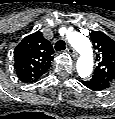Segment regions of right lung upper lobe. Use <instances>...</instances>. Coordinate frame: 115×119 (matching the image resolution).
<instances>
[{"label":"right lung upper lobe","instance_id":"obj_1","mask_svg":"<svg viewBox=\"0 0 115 119\" xmlns=\"http://www.w3.org/2000/svg\"><path fill=\"white\" fill-rule=\"evenodd\" d=\"M53 47L42 33L37 31L26 36L14 50V69L25 83L37 81L50 67Z\"/></svg>","mask_w":115,"mask_h":119}]
</instances>
